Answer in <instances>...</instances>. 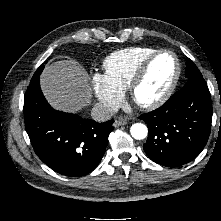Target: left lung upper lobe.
Here are the masks:
<instances>
[{"label":"left lung upper lobe","mask_w":221,"mask_h":221,"mask_svg":"<svg viewBox=\"0 0 221 221\" xmlns=\"http://www.w3.org/2000/svg\"><path fill=\"white\" fill-rule=\"evenodd\" d=\"M186 65V77L188 81L185 86L206 84L205 80L202 77V74L189 58L186 59Z\"/></svg>","instance_id":"obj_1"}]
</instances>
